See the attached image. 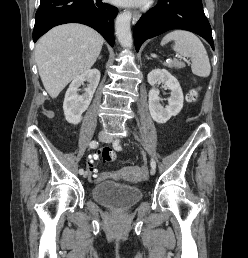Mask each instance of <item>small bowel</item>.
<instances>
[{
    "instance_id": "c3829d8e",
    "label": "small bowel",
    "mask_w": 248,
    "mask_h": 258,
    "mask_svg": "<svg viewBox=\"0 0 248 258\" xmlns=\"http://www.w3.org/2000/svg\"><path fill=\"white\" fill-rule=\"evenodd\" d=\"M96 180H102V179H114V180H120V175L117 172H110L105 173L103 175H93Z\"/></svg>"
}]
</instances>
